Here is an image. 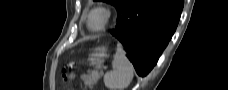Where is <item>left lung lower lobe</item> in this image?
Listing matches in <instances>:
<instances>
[{
    "label": "left lung lower lobe",
    "mask_w": 228,
    "mask_h": 90,
    "mask_svg": "<svg viewBox=\"0 0 228 90\" xmlns=\"http://www.w3.org/2000/svg\"><path fill=\"white\" fill-rule=\"evenodd\" d=\"M183 0H130L111 31L125 47L137 74L146 76L171 39Z\"/></svg>",
    "instance_id": "obj_1"
}]
</instances>
